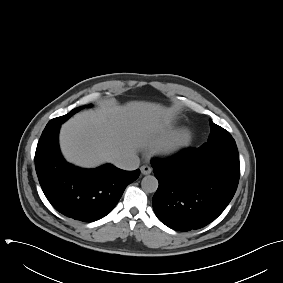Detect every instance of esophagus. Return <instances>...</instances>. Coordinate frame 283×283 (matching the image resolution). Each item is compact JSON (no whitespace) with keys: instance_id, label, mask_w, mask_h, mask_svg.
<instances>
[{"instance_id":"obj_1","label":"esophagus","mask_w":283,"mask_h":283,"mask_svg":"<svg viewBox=\"0 0 283 283\" xmlns=\"http://www.w3.org/2000/svg\"><path fill=\"white\" fill-rule=\"evenodd\" d=\"M140 171L142 175H148L152 172L151 167L147 166V165H143L140 167Z\"/></svg>"}]
</instances>
